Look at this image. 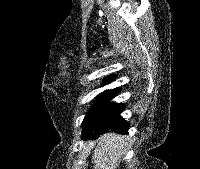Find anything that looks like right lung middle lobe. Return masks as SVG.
<instances>
[{
    "label": "right lung middle lobe",
    "mask_w": 200,
    "mask_h": 169,
    "mask_svg": "<svg viewBox=\"0 0 200 169\" xmlns=\"http://www.w3.org/2000/svg\"><path fill=\"white\" fill-rule=\"evenodd\" d=\"M114 90H108L105 91L104 93L99 94L96 98H95V102L93 104V106L90 108V110L88 111V113L86 114L82 125H84L112 96Z\"/></svg>",
    "instance_id": "obj_1"
}]
</instances>
